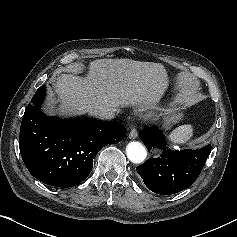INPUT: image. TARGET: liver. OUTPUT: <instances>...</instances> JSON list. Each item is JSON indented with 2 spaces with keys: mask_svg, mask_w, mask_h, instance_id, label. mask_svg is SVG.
<instances>
[{
  "mask_svg": "<svg viewBox=\"0 0 237 237\" xmlns=\"http://www.w3.org/2000/svg\"><path fill=\"white\" fill-rule=\"evenodd\" d=\"M85 77L61 74L53 84L58 110L66 114H91L94 110L154 103L166 85L162 64L132 59L91 62Z\"/></svg>",
  "mask_w": 237,
  "mask_h": 237,
  "instance_id": "liver-1",
  "label": "liver"
}]
</instances>
